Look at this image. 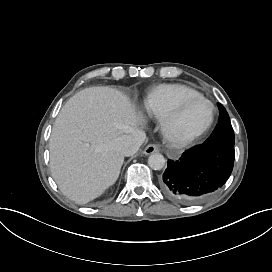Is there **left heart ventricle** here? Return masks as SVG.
<instances>
[{"label": "left heart ventricle", "instance_id": "obj_1", "mask_svg": "<svg viewBox=\"0 0 272 272\" xmlns=\"http://www.w3.org/2000/svg\"><path fill=\"white\" fill-rule=\"evenodd\" d=\"M210 107L203 100L190 102L175 121V127L183 132L200 129L208 122Z\"/></svg>", "mask_w": 272, "mask_h": 272}]
</instances>
